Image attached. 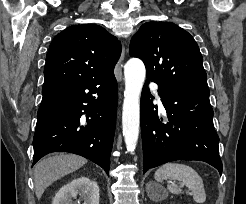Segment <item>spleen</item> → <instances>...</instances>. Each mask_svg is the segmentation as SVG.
Masks as SVG:
<instances>
[{"instance_id": "obj_1", "label": "spleen", "mask_w": 246, "mask_h": 204, "mask_svg": "<svg viewBox=\"0 0 246 204\" xmlns=\"http://www.w3.org/2000/svg\"><path fill=\"white\" fill-rule=\"evenodd\" d=\"M154 178L162 183L166 179L182 181L188 190L189 194L197 203H203L206 200L203 180L200 175L190 166L181 163H166L159 167ZM167 189L174 194L182 193V189L176 184H168Z\"/></svg>"}]
</instances>
